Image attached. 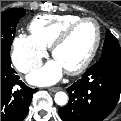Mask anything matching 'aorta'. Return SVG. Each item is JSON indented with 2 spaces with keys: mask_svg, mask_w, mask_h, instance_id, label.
Wrapping results in <instances>:
<instances>
[{
  "mask_svg": "<svg viewBox=\"0 0 121 121\" xmlns=\"http://www.w3.org/2000/svg\"><path fill=\"white\" fill-rule=\"evenodd\" d=\"M54 101L56 104H58L60 106H64L68 102V96L65 92H62V91L57 92L55 94Z\"/></svg>",
  "mask_w": 121,
  "mask_h": 121,
  "instance_id": "aorta-1",
  "label": "aorta"
}]
</instances>
